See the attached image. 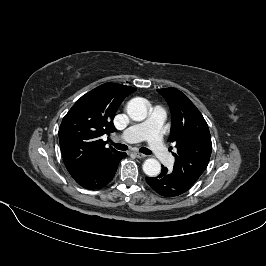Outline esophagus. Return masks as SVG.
<instances>
[{
  "instance_id": "34e87169",
  "label": "esophagus",
  "mask_w": 266,
  "mask_h": 266,
  "mask_svg": "<svg viewBox=\"0 0 266 266\" xmlns=\"http://www.w3.org/2000/svg\"><path fill=\"white\" fill-rule=\"evenodd\" d=\"M134 155L135 157L139 158V159H142V158H145L146 155L142 154V153H139V152H134Z\"/></svg>"
}]
</instances>
